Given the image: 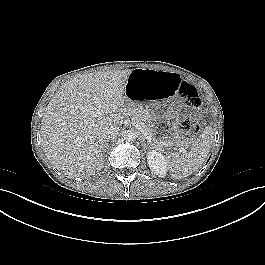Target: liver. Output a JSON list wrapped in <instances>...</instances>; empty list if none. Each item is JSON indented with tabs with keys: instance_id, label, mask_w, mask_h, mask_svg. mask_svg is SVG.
<instances>
[{
	"instance_id": "liver-1",
	"label": "liver",
	"mask_w": 265,
	"mask_h": 265,
	"mask_svg": "<svg viewBox=\"0 0 265 265\" xmlns=\"http://www.w3.org/2000/svg\"><path fill=\"white\" fill-rule=\"evenodd\" d=\"M132 70L89 73L58 90L42 118V146L50 162L68 178L88 177L104 167L101 130L120 121ZM96 100L101 114H96Z\"/></svg>"
}]
</instances>
